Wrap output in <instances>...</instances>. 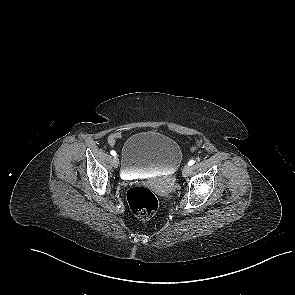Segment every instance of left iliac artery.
I'll list each match as a JSON object with an SVG mask.
<instances>
[{
    "instance_id": "left-iliac-artery-1",
    "label": "left iliac artery",
    "mask_w": 295,
    "mask_h": 295,
    "mask_svg": "<svg viewBox=\"0 0 295 295\" xmlns=\"http://www.w3.org/2000/svg\"><path fill=\"white\" fill-rule=\"evenodd\" d=\"M194 163H195V161L192 159V160H190V161L188 162V165L191 166V165H193Z\"/></svg>"
}]
</instances>
